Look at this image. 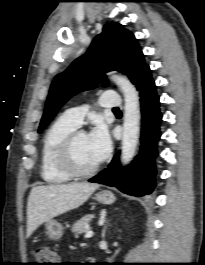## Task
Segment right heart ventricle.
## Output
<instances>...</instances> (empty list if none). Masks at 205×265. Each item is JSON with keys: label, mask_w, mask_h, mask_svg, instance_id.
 <instances>
[{"label": "right heart ventricle", "mask_w": 205, "mask_h": 265, "mask_svg": "<svg viewBox=\"0 0 205 265\" xmlns=\"http://www.w3.org/2000/svg\"><path fill=\"white\" fill-rule=\"evenodd\" d=\"M77 128L64 116L59 117L47 129L41 148L40 174L49 184H62L71 180L60 166L58 155L64 139Z\"/></svg>", "instance_id": "obj_1"}]
</instances>
